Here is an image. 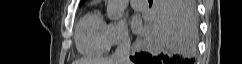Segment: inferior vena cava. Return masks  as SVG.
I'll return each instance as SVG.
<instances>
[{
	"instance_id": "602c4592",
	"label": "inferior vena cava",
	"mask_w": 242,
	"mask_h": 64,
	"mask_svg": "<svg viewBox=\"0 0 242 64\" xmlns=\"http://www.w3.org/2000/svg\"><path fill=\"white\" fill-rule=\"evenodd\" d=\"M130 45L131 42L129 37L124 35L114 54L112 55V59L115 61V64H131Z\"/></svg>"
}]
</instances>
